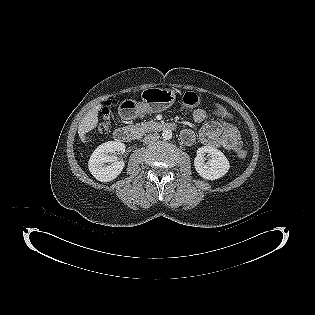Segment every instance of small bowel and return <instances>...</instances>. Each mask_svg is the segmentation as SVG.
Here are the masks:
<instances>
[{"label":"small bowel","instance_id":"small-bowel-1","mask_svg":"<svg viewBox=\"0 0 315 315\" xmlns=\"http://www.w3.org/2000/svg\"><path fill=\"white\" fill-rule=\"evenodd\" d=\"M231 118L220 105H215L211 112L197 108L192 112V119L204 124L198 134L191 129H185L181 134L182 141L186 145H192L198 138L207 146L237 151L241 147V137Z\"/></svg>","mask_w":315,"mask_h":315}]
</instances>
